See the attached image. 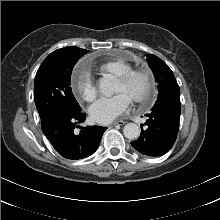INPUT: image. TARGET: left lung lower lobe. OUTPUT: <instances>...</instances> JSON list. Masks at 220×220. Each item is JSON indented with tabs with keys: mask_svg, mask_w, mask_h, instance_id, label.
Returning a JSON list of instances; mask_svg holds the SVG:
<instances>
[{
	"mask_svg": "<svg viewBox=\"0 0 220 220\" xmlns=\"http://www.w3.org/2000/svg\"><path fill=\"white\" fill-rule=\"evenodd\" d=\"M181 112L180 97H170L157 101L152 112L146 114V130L131 145L140 153L161 156L174 144ZM141 126H144L142 124Z\"/></svg>",
	"mask_w": 220,
	"mask_h": 220,
	"instance_id": "left-lung-lower-lobe-1",
	"label": "left lung lower lobe"
}]
</instances>
